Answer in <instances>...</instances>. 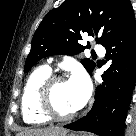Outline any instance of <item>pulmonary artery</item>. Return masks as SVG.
I'll return each instance as SVG.
<instances>
[{
  "mask_svg": "<svg viewBox=\"0 0 136 136\" xmlns=\"http://www.w3.org/2000/svg\"><path fill=\"white\" fill-rule=\"evenodd\" d=\"M94 49L100 55H103L104 52H105L104 47L102 45H100V44H96L95 47H94Z\"/></svg>",
  "mask_w": 136,
  "mask_h": 136,
  "instance_id": "e3ab8cb5",
  "label": "pulmonary artery"
}]
</instances>
